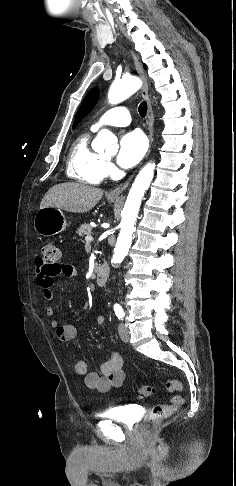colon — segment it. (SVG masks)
Wrapping results in <instances>:
<instances>
[{"label": "colon", "instance_id": "1", "mask_svg": "<svg viewBox=\"0 0 236 486\" xmlns=\"http://www.w3.org/2000/svg\"><path fill=\"white\" fill-rule=\"evenodd\" d=\"M60 259V249L53 243H46L41 249V263L51 270L58 265ZM169 392H178L174 395L169 404L155 405L150 412L146 429L149 430L152 426L160 423L161 421L169 418L183 403L184 397L181 394L183 386L181 382L177 380L169 381L166 385ZM140 397L146 398L153 393V388L147 385L141 386L138 389Z\"/></svg>", "mask_w": 236, "mask_h": 486}]
</instances>
